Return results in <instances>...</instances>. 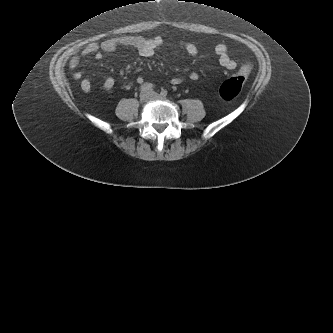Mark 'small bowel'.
Wrapping results in <instances>:
<instances>
[{"instance_id": "c3829d8e", "label": "small bowel", "mask_w": 333, "mask_h": 333, "mask_svg": "<svg viewBox=\"0 0 333 333\" xmlns=\"http://www.w3.org/2000/svg\"><path fill=\"white\" fill-rule=\"evenodd\" d=\"M164 41L160 37H142V36H123V37H112L108 38L101 43H91L87 45L81 52V56L85 57L88 55H93L96 59L101 60L103 58L104 52H113L119 47H131L137 50L139 55L142 57H151L154 55L155 51L162 47ZM182 46L187 51L188 54L195 56L198 53L197 47L190 42H183ZM215 54L219 59V63L222 67L227 70H234L236 68L235 61L231 58L227 46L220 44L215 48ZM80 62V56L76 53H71L68 55L69 68L72 71V77L75 80H80L83 74L80 70H77V66ZM190 80L196 81L199 79V74L197 72H191L188 75ZM184 81L183 77H176L170 80L173 85L181 84ZM143 78H138V83H143ZM115 85V80L111 76H105L103 79L101 89L103 91H110ZM91 81L89 78H83L81 80V88L83 91L88 92L91 89Z\"/></svg>"}]
</instances>
